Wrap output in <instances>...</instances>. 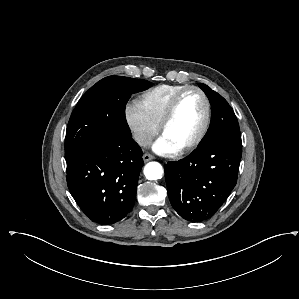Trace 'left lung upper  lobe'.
I'll return each instance as SVG.
<instances>
[{
  "label": "left lung upper lobe",
  "mask_w": 299,
  "mask_h": 299,
  "mask_svg": "<svg viewBox=\"0 0 299 299\" xmlns=\"http://www.w3.org/2000/svg\"><path fill=\"white\" fill-rule=\"evenodd\" d=\"M211 104L210 127L198 146L216 140H231L241 143L240 128L236 115L228 102L205 84H199Z\"/></svg>",
  "instance_id": "left-lung-upper-lobe-1"
}]
</instances>
